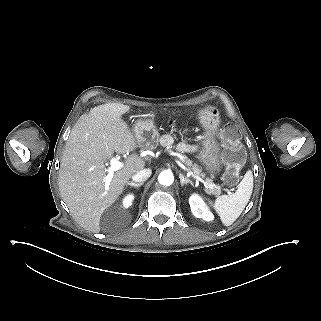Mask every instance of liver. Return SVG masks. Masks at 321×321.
I'll return each mask as SVG.
<instances>
[{"instance_id": "liver-1", "label": "liver", "mask_w": 321, "mask_h": 321, "mask_svg": "<svg viewBox=\"0 0 321 321\" xmlns=\"http://www.w3.org/2000/svg\"><path fill=\"white\" fill-rule=\"evenodd\" d=\"M130 107L106 103L83 114L66 142L59 170V190L74 220L84 229L100 232V218L122 193L124 185L145 166L136 154L130 155L116 171L107 194L105 162L114 152L123 154L137 146L126 122L121 118Z\"/></svg>"}]
</instances>
